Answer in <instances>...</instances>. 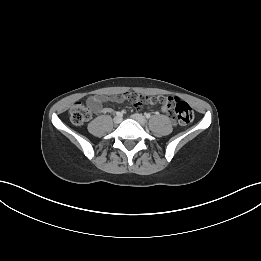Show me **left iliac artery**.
Returning <instances> with one entry per match:
<instances>
[{
	"label": "left iliac artery",
	"instance_id": "1",
	"mask_svg": "<svg viewBox=\"0 0 261 261\" xmlns=\"http://www.w3.org/2000/svg\"><path fill=\"white\" fill-rule=\"evenodd\" d=\"M145 116L147 119L151 117V115L149 113H147Z\"/></svg>",
	"mask_w": 261,
	"mask_h": 261
}]
</instances>
